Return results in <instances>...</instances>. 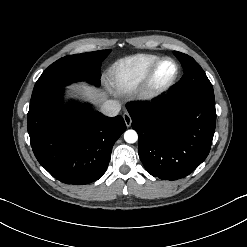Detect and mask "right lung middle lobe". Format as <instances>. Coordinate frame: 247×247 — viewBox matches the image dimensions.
Instances as JSON below:
<instances>
[{
    "label": "right lung middle lobe",
    "mask_w": 247,
    "mask_h": 247,
    "mask_svg": "<svg viewBox=\"0 0 247 247\" xmlns=\"http://www.w3.org/2000/svg\"><path fill=\"white\" fill-rule=\"evenodd\" d=\"M111 50H101L65 56L50 65L37 80L30 107L41 103L63 86L76 81H88L100 85V67Z\"/></svg>",
    "instance_id": "obj_1"
}]
</instances>
